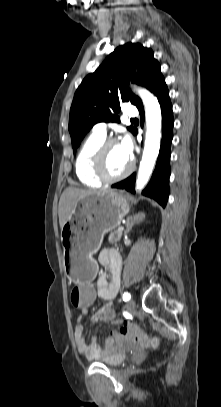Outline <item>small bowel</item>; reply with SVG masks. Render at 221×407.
Returning <instances> with one entry per match:
<instances>
[{"label": "small bowel", "mask_w": 221, "mask_h": 407, "mask_svg": "<svg viewBox=\"0 0 221 407\" xmlns=\"http://www.w3.org/2000/svg\"><path fill=\"white\" fill-rule=\"evenodd\" d=\"M98 260L102 266L108 268L109 275L106 272H100L96 280L95 292L97 297L104 299L106 303L102 307L100 305L92 306L91 311L94 315L91 318V323L93 325L102 324L104 307L106 305H112V301L116 297L119 290L122 269L120 254L115 249H103L99 254ZM86 314L87 311H81V315L77 318V322L74 327V339L78 352L81 355L91 359L98 358L115 351L117 349L115 341L124 336L121 331H113L112 336L106 340L104 348H101L97 344L95 338H93L90 343L86 342L83 335L84 327L82 324L83 317Z\"/></svg>", "instance_id": "obj_1"}]
</instances>
